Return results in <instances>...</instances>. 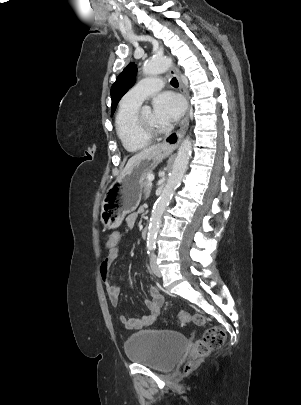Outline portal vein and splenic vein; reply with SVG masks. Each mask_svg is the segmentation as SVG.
Wrapping results in <instances>:
<instances>
[{
    "instance_id": "18ae733b",
    "label": "portal vein and splenic vein",
    "mask_w": 301,
    "mask_h": 405,
    "mask_svg": "<svg viewBox=\"0 0 301 405\" xmlns=\"http://www.w3.org/2000/svg\"><path fill=\"white\" fill-rule=\"evenodd\" d=\"M147 178L150 182H152L154 180V175L150 174L147 176ZM151 185H152V183H151Z\"/></svg>"
}]
</instances>
